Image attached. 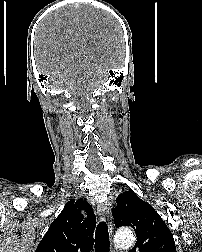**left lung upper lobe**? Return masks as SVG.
Masks as SVG:
<instances>
[{"mask_svg": "<svg viewBox=\"0 0 202 252\" xmlns=\"http://www.w3.org/2000/svg\"><path fill=\"white\" fill-rule=\"evenodd\" d=\"M117 227L131 226L137 242L129 252H176L173 235L159 214L133 191L117 198L113 209Z\"/></svg>", "mask_w": 202, "mask_h": 252, "instance_id": "obj_1", "label": "left lung upper lobe"}]
</instances>
